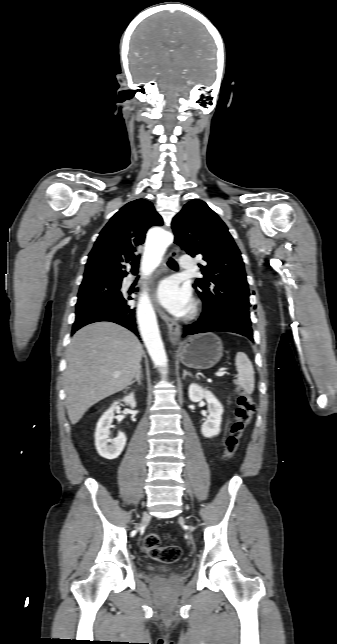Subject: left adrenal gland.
I'll use <instances>...</instances> for the list:
<instances>
[{
    "instance_id": "left-adrenal-gland-1",
    "label": "left adrenal gland",
    "mask_w": 337,
    "mask_h": 644,
    "mask_svg": "<svg viewBox=\"0 0 337 644\" xmlns=\"http://www.w3.org/2000/svg\"><path fill=\"white\" fill-rule=\"evenodd\" d=\"M187 375H188V376H191V374H190L189 372H187L186 370H183V377H182V379L184 380V379L186 378V376H187Z\"/></svg>"
}]
</instances>
